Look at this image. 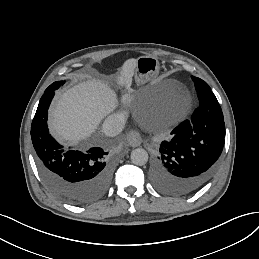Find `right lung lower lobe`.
<instances>
[{
	"label": "right lung lower lobe",
	"mask_w": 259,
	"mask_h": 259,
	"mask_svg": "<svg viewBox=\"0 0 259 259\" xmlns=\"http://www.w3.org/2000/svg\"><path fill=\"white\" fill-rule=\"evenodd\" d=\"M55 91L44 93L31 125V138L39 172L59 198L86 205L100 199L108 190L113 168L108 152L94 147L86 152L63 149L49 134L47 112Z\"/></svg>",
	"instance_id": "right-lung-lower-lobe-1"
}]
</instances>
